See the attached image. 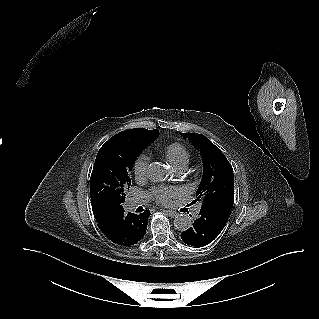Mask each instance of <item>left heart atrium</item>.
Returning a JSON list of instances; mask_svg holds the SVG:
<instances>
[{
  "label": "left heart atrium",
  "mask_w": 319,
  "mask_h": 319,
  "mask_svg": "<svg viewBox=\"0 0 319 319\" xmlns=\"http://www.w3.org/2000/svg\"><path fill=\"white\" fill-rule=\"evenodd\" d=\"M177 193L178 191L174 187H158L151 191L154 199L161 204H167Z\"/></svg>",
  "instance_id": "1"
}]
</instances>
